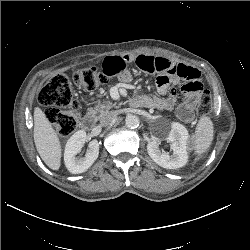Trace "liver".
<instances>
[{"mask_svg": "<svg viewBox=\"0 0 250 250\" xmlns=\"http://www.w3.org/2000/svg\"><path fill=\"white\" fill-rule=\"evenodd\" d=\"M34 142L44 163L52 170L61 165V144L45 113L36 107L34 110Z\"/></svg>", "mask_w": 250, "mask_h": 250, "instance_id": "obj_1", "label": "liver"}]
</instances>
